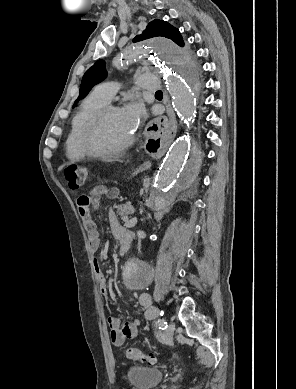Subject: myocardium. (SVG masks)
I'll return each instance as SVG.
<instances>
[{"label":"myocardium","instance_id":"1","mask_svg":"<svg viewBox=\"0 0 296 389\" xmlns=\"http://www.w3.org/2000/svg\"><path fill=\"white\" fill-rule=\"evenodd\" d=\"M117 111H121V109L114 105H105L101 109H99L88 122L82 138L83 149L88 156L102 158L119 155L125 150H127L134 143L135 134L132 133V135L127 141L115 148L102 149L97 146L96 136L102 120L109 113Z\"/></svg>","mask_w":296,"mask_h":389}]
</instances>
